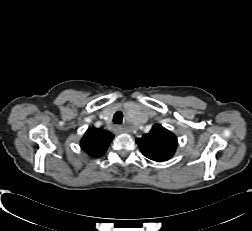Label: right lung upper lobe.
I'll return each instance as SVG.
<instances>
[{
	"label": "right lung upper lobe",
	"instance_id": "obj_1",
	"mask_svg": "<svg viewBox=\"0 0 252 231\" xmlns=\"http://www.w3.org/2000/svg\"><path fill=\"white\" fill-rule=\"evenodd\" d=\"M113 138L107 130L89 128L81 140V148L92 157H100Z\"/></svg>",
	"mask_w": 252,
	"mask_h": 231
}]
</instances>
